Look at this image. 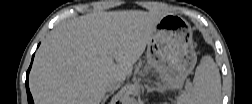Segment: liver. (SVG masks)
Returning a JSON list of instances; mask_svg holds the SVG:
<instances>
[{"label":"liver","instance_id":"1","mask_svg":"<svg viewBox=\"0 0 252 104\" xmlns=\"http://www.w3.org/2000/svg\"><path fill=\"white\" fill-rule=\"evenodd\" d=\"M159 12H94L62 22L39 47L29 77L37 104H100L145 51ZM116 61V63L114 62Z\"/></svg>","mask_w":252,"mask_h":104}]
</instances>
